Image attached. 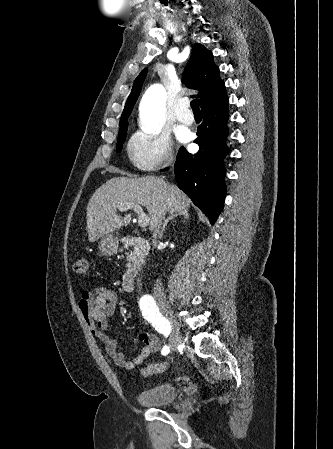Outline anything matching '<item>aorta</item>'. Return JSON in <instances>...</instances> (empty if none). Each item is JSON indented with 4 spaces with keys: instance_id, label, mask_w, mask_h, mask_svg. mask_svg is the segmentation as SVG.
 <instances>
[{
    "instance_id": "1",
    "label": "aorta",
    "mask_w": 333,
    "mask_h": 449,
    "mask_svg": "<svg viewBox=\"0 0 333 449\" xmlns=\"http://www.w3.org/2000/svg\"><path fill=\"white\" fill-rule=\"evenodd\" d=\"M166 90L163 85L151 86L145 93L141 106L140 116L143 130L147 133H157L165 119Z\"/></svg>"
}]
</instances>
